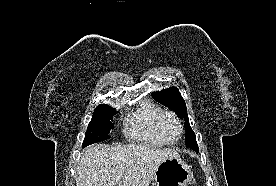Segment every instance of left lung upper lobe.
I'll return each instance as SVG.
<instances>
[{
  "instance_id": "obj_1",
  "label": "left lung upper lobe",
  "mask_w": 276,
  "mask_h": 186,
  "mask_svg": "<svg viewBox=\"0 0 276 186\" xmlns=\"http://www.w3.org/2000/svg\"><path fill=\"white\" fill-rule=\"evenodd\" d=\"M153 97L159 101L161 104L169 107L173 110L180 118L186 119L185 130V144L187 147H191L192 149L198 147L196 142V136L193 130L190 127L187 108L183 97L181 96L179 90L176 87H170L164 89L162 91H157L152 94Z\"/></svg>"
}]
</instances>
